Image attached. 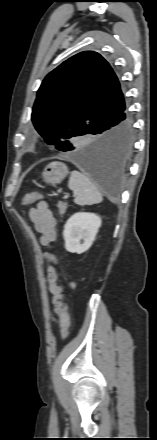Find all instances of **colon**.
I'll list each match as a JSON object with an SVG mask.
<instances>
[{
  "label": "colon",
  "instance_id": "colon-1",
  "mask_svg": "<svg viewBox=\"0 0 157 440\" xmlns=\"http://www.w3.org/2000/svg\"><path fill=\"white\" fill-rule=\"evenodd\" d=\"M39 199H41V195L39 193H37V192L27 193L23 198V204L29 205V204H32V203L38 201ZM51 265L54 267L53 264H51ZM55 277H56L58 283H61L60 275H59L58 271L56 270V268H55ZM55 308H56V311L59 314L60 320H61L62 339L65 340L69 336V329H70V319H69V314H68V310H67V303H66L65 299L61 298V300L58 302V304L56 305Z\"/></svg>",
  "mask_w": 157,
  "mask_h": 440
}]
</instances>
